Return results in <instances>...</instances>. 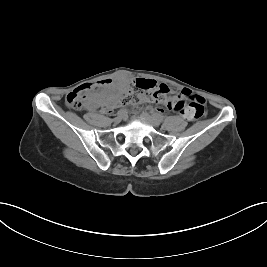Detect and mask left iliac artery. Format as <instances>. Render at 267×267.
<instances>
[{
  "label": "left iliac artery",
  "mask_w": 267,
  "mask_h": 267,
  "mask_svg": "<svg viewBox=\"0 0 267 267\" xmlns=\"http://www.w3.org/2000/svg\"><path fill=\"white\" fill-rule=\"evenodd\" d=\"M153 114V117L158 120L159 122H162L163 121V116L159 113H155V112H152Z\"/></svg>",
  "instance_id": "1"
}]
</instances>
